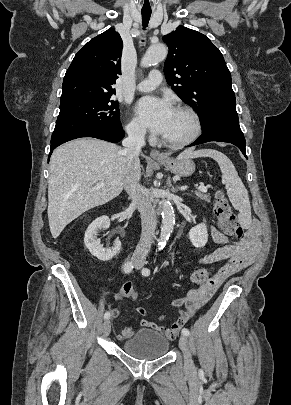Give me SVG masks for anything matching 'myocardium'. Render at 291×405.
Wrapping results in <instances>:
<instances>
[{
    "label": "myocardium",
    "mask_w": 291,
    "mask_h": 405,
    "mask_svg": "<svg viewBox=\"0 0 291 405\" xmlns=\"http://www.w3.org/2000/svg\"><path fill=\"white\" fill-rule=\"evenodd\" d=\"M174 109L185 112L190 117L193 125L192 131L186 138L180 140H170L162 136L161 141L166 146L172 148H182L190 145L200 136L202 132V123L197 112L190 106L179 104Z\"/></svg>",
    "instance_id": "myocardium-1"
}]
</instances>
